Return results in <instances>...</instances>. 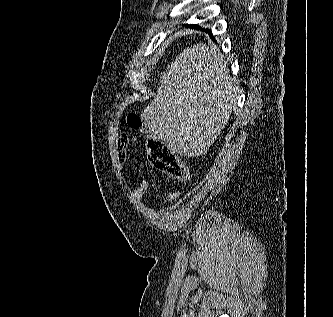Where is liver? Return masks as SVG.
I'll return each mask as SVG.
<instances>
[{"instance_id": "obj_1", "label": "liver", "mask_w": 333, "mask_h": 317, "mask_svg": "<svg viewBox=\"0 0 333 317\" xmlns=\"http://www.w3.org/2000/svg\"><path fill=\"white\" fill-rule=\"evenodd\" d=\"M237 95L219 48L197 43L171 62L141 117L168 150L198 157L227 125Z\"/></svg>"}]
</instances>
